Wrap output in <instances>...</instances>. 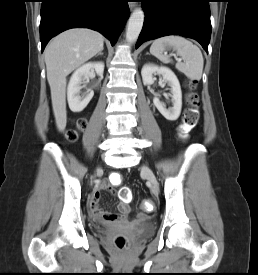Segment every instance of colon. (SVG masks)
Instances as JSON below:
<instances>
[{"instance_id":"obj_1","label":"colon","mask_w":258,"mask_h":275,"mask_svg":"<svg viewBox=\"0 0 258 275\" xmlns=\"http://www.w3.org/2000/svg\"><path fill=\"white\" fill-rule=\"evenodd\" d=\"M196 87V83L194 81L187 82L188 92L186 94V104L187 108L184 111L183 115V122L180 127V134L185 137L188 133L195 127L198 122L199 118V97L197 93L194 91ZM86 126V119L85 118H78L75 121L74 128L70 129L66 133V138L68 141H75L78 138L79 133L85 128ZM122 182V175L120 174H113L111 176V183L113 185H119ZM119 196L122 200L128 202L131 199V192L128 188L123 187L119 192ZM153 208V203L150 199L145 198L140 203V209L143 212H149ZM115 244L120 249H125L128 247V240L123 236H118L115 239Z\"/></svg>"}]
</instances>
